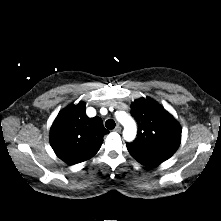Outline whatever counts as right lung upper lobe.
I'll return each instance as SVG.
<instances>
[{"mask_svg":"<svg viewBox=\"0 0 221 221\" xmlns=\"http://www.w3.org/2000/svg\"><path fill=\"white\" fill-rule=\"evenodd\" d=\"M85 103L71 104L56 117L50 131V143L56 155L74 165L93 157L109 131L99 117L86 115Z\"/></svg>","mask_w":221,"mask_h":221,"instance_id":"obj_1","label":"right lung upper lobe"}]
</instances>
